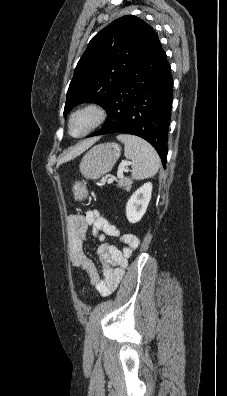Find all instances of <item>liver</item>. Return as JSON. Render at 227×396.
I'll use <instances>...</instances> for the list:
<instances>
[{
	"label": "liver",
	"mask_w": 227,
	"mask_h": 396,
	"mask_svg": "<svg viewBox=\"0 0 227 396\" xmlns=\"http://www.w3.org/2000/svg\"><path fill=\"white\" fill-rule=\"evenodd\" d=\"M95 141H96V139L82 142L81 144H79L78 146L73 148V150H71L66 156H64L58 162V165H60L63 162L69 161V160L75 158L76 156L80 155L82 152H84L86 149H88Z\"/></svg>",
	"instance_id": "obj_1"
}]
</instances>
